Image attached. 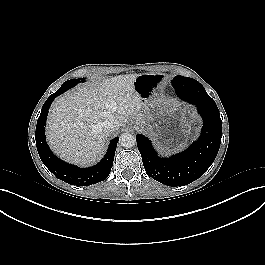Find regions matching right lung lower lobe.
<instances>
[{"label": "right lung lower lobe", "instance_id": "right-lung-lower-lobe-1", "mask_svg": "<svg viewBox=\"0 0 265 265\" xmlns=\"http://www.w3.org/2000/svg\"><path fill=\"white\" fill-rule=\"evenodd\" d=\"M62 93H54L48 97L44 103L41 114L37 121L35 139L39 156L45 166L60 180L76 186H88L94 183L105 180L111 171L113 165L115 150L118 142V137H115L111 142L104 158L93 167L79 168L70 165L57 158L48 147L45 139V124L48 115V110L55 97Z\"/></svg>", "mask_w": 265, "mask_h": 265}]
</instances>
